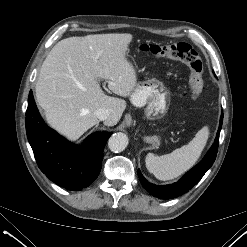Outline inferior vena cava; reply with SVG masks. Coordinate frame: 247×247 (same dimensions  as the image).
<instances>
[{
    "instance_id": "602c4592",
    "label": "inferior vena cava",
    "mask_w": 247,
    "mask_h": 247,
    "mask_svg": "<svg viewBox=\"0 0 247 247\" xmlns=\"http://www.w3.org/2000/svg\"><path fill=\"white\" fill-rule=\"evenodd\" d=\"M95 115L100 121H106L109 118L110 112L106 108H99L95 111Z\"/></svg>"
}]
</instances>
